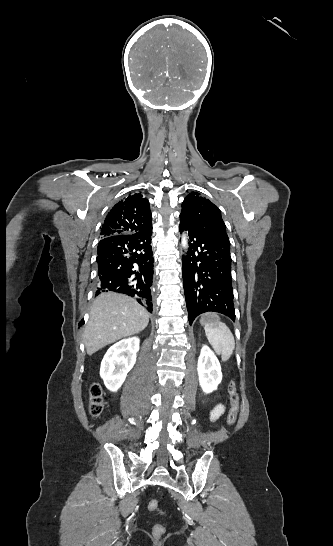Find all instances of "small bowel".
Returning <instances> with one entry per match:
<instances>
[{"mask_svg": "<svg viewBox=\"0 0 333 546\" xmlns=\"http://www.w3.org/2000/svg\"><path fill=\"white\" fill-rule=\"evenodd\" d=\"M225 411V408L222 404L217 405L211 412H210V420L216 421Z\"/></svg>", "mask_w": 333, "mask_h": 546, "instance_id": "obj_1", "label": "small bowel"}]
</instances>
